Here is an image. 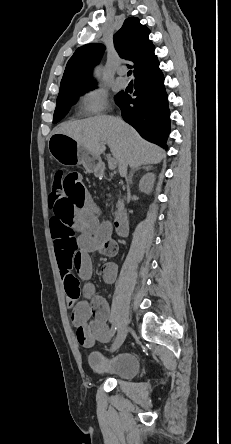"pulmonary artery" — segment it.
Wrapping results in <instances>:
<instances>
[{
  "label": "pulmonary artery",
  "instance_id": "obj_1",
  "mask_svg": "<svg viewBox=\"0 0 231 444\" xmlns=\"http://www.w3.org/2000/svg\"><path fill=\"white\" fill-rule=\"evenodd\" d=\"M123 73V69L118 70V75L116 77V84L121 88H125L128 84L127 80L123 77Z\"/></svg>",
  "mask_w": 231,
  "mask_h": 444
}]
</instances>
